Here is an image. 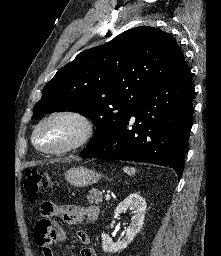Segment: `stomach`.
<instances>
[{
  "mask_svg": "<svg viewBox=\"0 0 221 256\" xmlns=\"http://www.w3.org/2000/svg\"><path fill=\"white\" fill-rule=\"evenodd\" d=\"M101 177V173L83 166L71 168L65 173L66 181L74 187H87L97 183Z\"/></svg>",
  "mask_w": 221,
  "mask_h": 256,
  "instance_id": "1",
  "label": "stomach"
}]
</instances>
